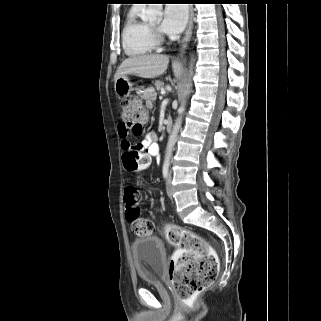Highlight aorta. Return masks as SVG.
I'll list each match as a JSON object with an SVG mask.
<instances>
[{"instance_id": "obj_1", "label": "aorta", "mask_w": 321, "mask_h": 321, "mask_svg": "<svg viewBox=\"0 0 321 321\" xmlns=\"http://www.w3.org/2000/svg\"><path fill=\"white\" fill-rule=\"evenodd\" d=\"M162 17V4H148V7L143 15V18L146 20H159ZM192 75V67L190 68L189 71V77ZM191 79L189 78V83L187 86V92H189L190 90V86H191ZM185 108L184 106L180 107L179 109V117L177 118L172 132L169 136L168 139V144H167V149H166V155H165V163H170L171 157H172V151L174 149V145L176 143V139H177V135L179 132V129L181 127V123H182V114L184 113Z\"/></svg>"}]
</instances>
